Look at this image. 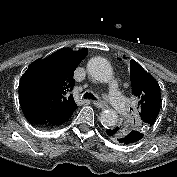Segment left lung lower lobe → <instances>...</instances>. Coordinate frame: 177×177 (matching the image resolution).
<instances>
[{"instance_id": "0a47b994", "label": "left lung lower lobe", "mask_w": 177, "mask_h": 177, "mask_svg": "<svg viewBox=\"0 0 177 177\" xmlns=\"http://www.w3.org/2000/svg\"><path fill=\"white\" fill-rule=\"evenodd\" d=\"M106 133L111 139L124 145L135 144L144 137V134L138 130H130L121 136H117L118 127H111L106 130Z\"/></svg>"}]
</instances>
